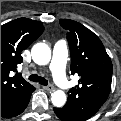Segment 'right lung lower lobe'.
Wrapping results in <instances>:
<instances>
[{
	"label": "right lung lower lobe",
	"instance_id": "98d812e1",
	"mask_svg": "<svg viewBox=\"0 0 121 121\" xmlns=\"http://www.w3.org/2000/svg\"><path fill=\"white\" fill-rule=\"evenodd\" d=\"M34 90L35 88L32 86V89L29 90L27 94L13 101L7 107L1 109V117L10 118V117H15L20 113H22L24 109L27 107L31 94Z\"/></svg>",
	"mask_w": 121,
	"mask_h": 121
}]
</instances>
